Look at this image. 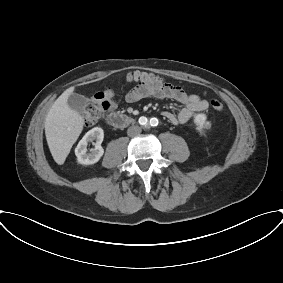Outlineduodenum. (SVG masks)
<instances>
[{
  "instance_id": "duodenum-1",
  "label": "duodenum",
  "mask_w": 283,
  "mask_h": 283,
  "mask_svg": "<svg viewBox=\"0 0 283 283\" xmlns=\"http://www.w3.org/2000/svg\"><path fill=\"white\" fill-rule=\"evenodd\" d=\"M106 122L116 128H124L134 123V118L118 112H112L106 116Z\"/></svg>"
}]
</instances>
